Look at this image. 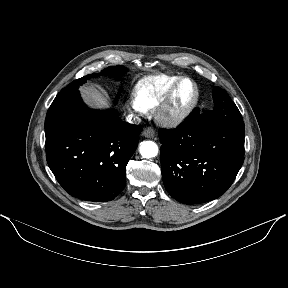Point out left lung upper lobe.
<instances>
[{
  "label": "left lung upper lobe",
  "instance_id": "left-lung-upper-lobe-1",
  "mask_svg": "<svg viewBox=\"0 0 288 288\" xmlns=\"http://www.w3.org/2000/svg\"><path fill=\"white\" fill-rule=\"evenodd\" d=\"M213 99L215 106L213 110L207 111L204 114L205 119L245 132L241 113L227 92L216 86L213 90Z\"/></svg>",
  "mask_w": 288,
  "mask_h": 288
}]
</instances>
